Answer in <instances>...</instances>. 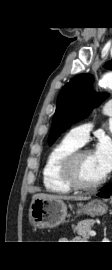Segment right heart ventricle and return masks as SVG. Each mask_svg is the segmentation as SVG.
I'll return each mask as SVG.
<instances>
[{"mask_svg":"<svg viewBox=\"0 0 112 270\" xmlns=\"http://www.w3.org/2000/svg\"><path fill=\"white\" fill-rule=\"evenodd\" d=\"M80 146L67 135L49 151L42 169V180L47 191L56 194H68L72 191L61 177L60 164L66 155Z\"/></svg>","mask_w":112,"mask_h":270,"instance_id":"right-heart-ventricle-1","label":"right heart ventricle"}]
</instances>
